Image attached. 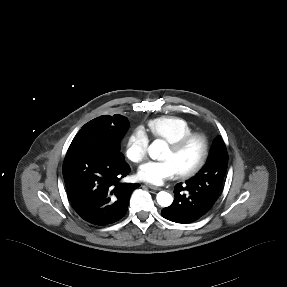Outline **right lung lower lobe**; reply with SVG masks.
<instances>
[{
  "label": "right lung lower lobe",
  "instance_id": "right-lung-lower-lobe-1",
  "mask_svg": "<svg viewBox=\"0 0 287 287\" xmlns=\"http://www.w3.org/2000/svg\"><path fill=\"white\" fill-rule=\"evenodd\" d=\"M129 172L122 153L106 154L92 149L67 152L63 177L75 212L97 226L120 220L127 212L132 191L140 186L120 182Z\"/></svg>",
  "mask_w": 287,
  "mask_h": 287
}]
</instances>
